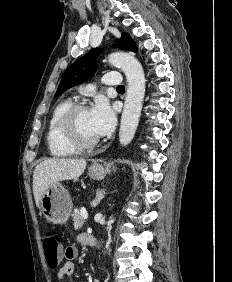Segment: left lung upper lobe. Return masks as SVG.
<instances>
[{"instance_id": "5c2ea615", "label": "left lung upper lobe", "mask_w": 232, "mask_h": 282, "mask_svg": "<svg viewBox=\"0 0 232 282\" xmlns=\"http://www.w3.org/2000/svg\"><path fill=\"white\" fill-rule=\"evenodd\" d=\"M122 37L117 40L115 46L120 49L129 50L137 53L138 48L134 40L127 33H122ZM100 50L94 48L90 50L84 57L77 60L72 64L64 73L62 80L58 86L55 97L60 96L66 90L71 87L85 82L89 79L97 70L96 58L99 55Z\"/></svg>"}]
</instances>
